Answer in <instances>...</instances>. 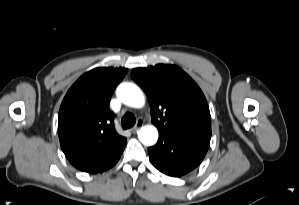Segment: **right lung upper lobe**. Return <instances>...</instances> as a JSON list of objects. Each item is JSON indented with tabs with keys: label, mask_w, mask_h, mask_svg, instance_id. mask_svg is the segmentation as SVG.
I'll return each instance as SVG.
<instances>
[{
	"label": "right lung upper lobe",
	"mask_w": 299,
	"mask_h": 205,
	"mask_svg": "<svg viewBox=\"0 0 299 205\" xmlns=\"http://www.w3.org/2000/svg\"><path fill=\"white\" fill-rule=\"evenodd\" d=\"M126 68H95L69 89L60 107L58 133L69 162L80 171L96 174L119 160L126 138L114 128L109 109L112 93Z\"/></svg>",
	"instance_id": "cb5924a9"
}]
</instances>
